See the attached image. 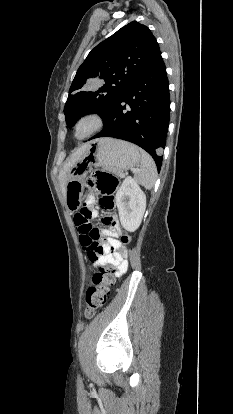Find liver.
Wrapping results in <instances>:
<instances>
[{
  "mask_svg": "<svg viewBox=\"0 0 233 414\" xmlns=\"http://www.w3.org/2000/svg\"><path fill=\"white\" fill-rule=\"evenodd\" d=\"M88 148H89V143L81 146L80 148H78L70 156V158L65 163L62 171L60 172L59 182H60L61 189H62V192H63L64 196H65V193H66V184L68 182L69 173H70L71 169L75 166V164L84 157V155H85L86 151L88 150Z\"/></svg>",
  "mask_w": 233,
  "mask_h": 414,
  "instance_id": "obj_1",
  "label": "liver"
}]
</instances>
